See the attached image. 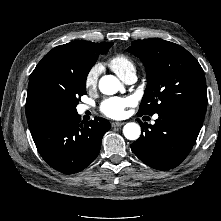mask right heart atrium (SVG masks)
<instances>
[{
	"label": "right heart atrium",
	"instance_id": "1",
	"mask_svg": "<svg viewBox=\"0 0 221 221\" xmlns=\"http://www.w3.org/2000/svg\"><path fill=\"white\" fill-rule=\"evenodd\" d=\"M100 72H101V66L99 64H94L88 70L84 79V85L87 89H93L97 86Z\"/></svg>",
	"mask_w": 221,
	"mask_h": 221
}]
</instances>
